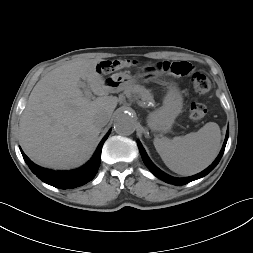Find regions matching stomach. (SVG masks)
<instances>
[{"mask_svg":"<svg viewBox=\"0 0 253 253\" xmlns=\"http://www.w3.org/2000/svg\"><path fill=\"white\" fill-rule=\"evenodd\" d=\"M163 72L156 69L154 65L142 67V74L134 78L126 72L115 73L106 80V85L112 91H122L141 80L149 82L163 76ZM183 96L176 84L170 83L163 100V105L148 115L147 123L154 132H167L171 129L176 117L182 112Z\"/></svg>","mask_w":253,"mask_h":253,"instance_id":"obj_1","label":"stomach"}]
</instances>
